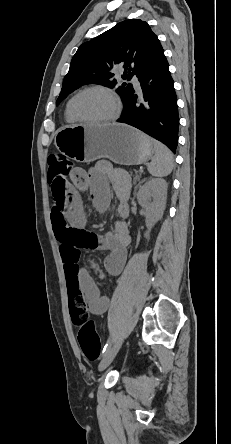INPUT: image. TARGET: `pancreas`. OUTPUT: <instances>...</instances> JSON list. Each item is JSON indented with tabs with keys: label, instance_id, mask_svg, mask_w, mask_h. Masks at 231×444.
Returning <instances> with one entry per match:
<instances>
[{
	"label": "pancreas",
	"instance_id": "pancreas-1",
	"mask_svg": "<svg viewBox=\"0 0 231 444\" xmlns=\"http://www.w3.org/2000/svg\"><path fill=\"white\" fill-rule=\"evenodd\" d=\"M130 175L133 176L134 182H138L141 178V172L137 170H130Z\"/></svg>",
	"mask_w": 231,
	"mask_h": 444
}]
</instances>
